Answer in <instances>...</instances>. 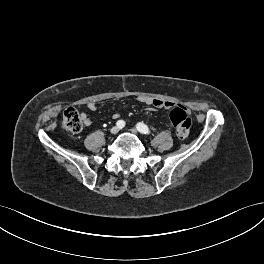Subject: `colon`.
Segmentation results:
<instances>
[{
    "mask_svg": "<svg viewBox=\"0 0 264 264\" xmlns=\"http://www.w3.org/2000/svg\"><path fill=\"white\" fill-rule=\"evenodd\" d=\"M170 120L179 138L184 139L189 135L191 119L182 106H177L170 112ZM62 127L69 133H79L83 128V119L80 112L70 107L63 113Z\"/></svg>",
    "mask_w": 264,
    "mask_h": 264,
    "instance_id": "obj_1",
    "label": "colon"
}]
</instances>
